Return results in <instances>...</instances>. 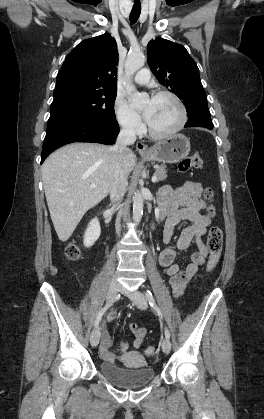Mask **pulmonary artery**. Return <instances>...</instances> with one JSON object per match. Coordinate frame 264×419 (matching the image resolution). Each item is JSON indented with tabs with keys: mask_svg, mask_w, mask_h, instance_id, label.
I'll return each mask as SVG.
<instances>
[{
	"mask_svg": "<svg viewBox=\"0 0 264 419\" xmlns=\"http://www.w3.org/2000/svg\"><path fill=\"white\" fill-rule=\"evenodd\" d=\"M149 80H150V71H149V69H147V68H142V69H140V70L136 73V75L134 76V81H135L137 84H141V85H143V84L148 83V82H149Z\"/></svg>",
	"mask_w": 264,
	"mask_h": 419,
	"instance_id": "e3ab8cb5",
	"label": "pulmonary artery"
}]
</instances>
